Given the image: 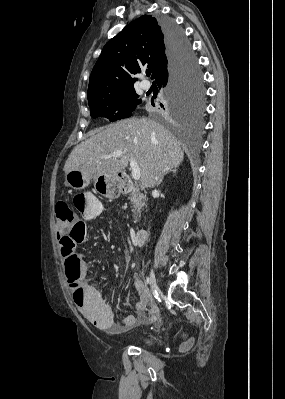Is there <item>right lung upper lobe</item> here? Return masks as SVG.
Returning <instances> with one entry per match:
<instances>
[{
	"instance_id": "obj_1",
	"label": "right lung upper lobe",
	"mask_w": 285,
	"mask_h": 399,
	"mask_svg": "<svg viewBox=\"0 0 285 399\" xmlns=\"http://www.w3.org/2000/svg\"><path fill=\"white\" fill-rule=\"evenodd\" d=\"M167 49L159 21L143 15L126 26L103 48L89 79L88 101L133 89L143 66L153 76L166 67Z\"/></svg>"
}]
</instances>
